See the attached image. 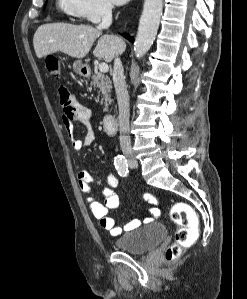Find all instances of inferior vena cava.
<instances>
[{
	"label": "inferior vena cava",
	"mask_w": 247,
	"mask_h": 299,
	"mask_svg": "<svg viewBox=\"0 0 247 299\" xmlns=\"http://www.w3.org/2000/svg\"><path fill=\"white\" fill-rule=\"evenodd\" d=\"M102 22L98 29H107L112 24V6L104 3L101 6ZM113 82L119 106V139L121 150L124 154L132 152L131 139L129 136V95L124 78V69L119 57H115L113 67Z\"/></svg>",
	"instance_id": "obj_1"
}]
</instances>
